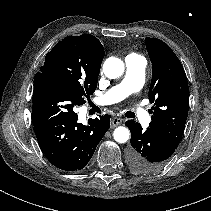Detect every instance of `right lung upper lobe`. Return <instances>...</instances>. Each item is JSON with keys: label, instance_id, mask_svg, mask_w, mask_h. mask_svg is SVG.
Returning <instances> with one entry per match:
<instances>
[{"label": "right lung upper lobe", "instance_id": "1", "mask_svg": "<svg viewBox=\"0 0 211 211\" xmlns=\"http://www.w3.org/2000/svg\"><path fill=\"white\" fill-rule=\"evenodd\" d=\"M73 37L75 43L86 49L93 57L95 65L100 69L101 62L105 56L104 47L100 41L90 34H83L81 36H69Z\"/></svg>", "mask_w": 211, "mask_h": 211}]
</instances>
